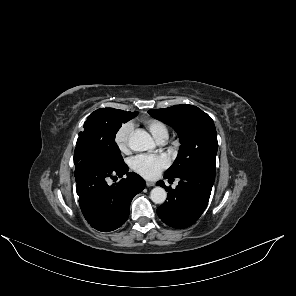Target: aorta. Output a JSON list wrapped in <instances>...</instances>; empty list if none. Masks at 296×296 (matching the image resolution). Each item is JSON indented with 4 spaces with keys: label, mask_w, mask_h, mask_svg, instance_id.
I'll return each instance as SVG.
<instances>
[{
    "label": "aorta",
    "mask_w": 296,
    "mask_h": 296,
    "mask_svg": "<svg viewBox=\"0 0 296 296\" xmlns=\"http://www.w3.org/2000/svg\"><path fill=\"white\" fill-rule=\"evenodd\" d=\"M129 147L133 151L142 152L153 149L155 143L147 132L137 131L129 138ZM150 198L155 204H162L167 198L166 190L157 186L151 190Z\"/></svg>",
    "instance_id": "aorta-1"
}]
</instances>
